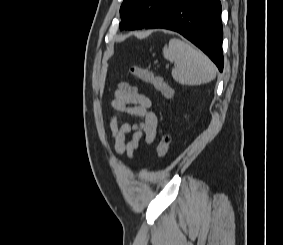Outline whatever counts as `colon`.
<instances>
[{"label":"colon","instance_id":"colon-1","mask_svg":"<svg viewBox=\"0 0 283 245\" xmlns=\"http://www.w3.org/2000/svg\"><path fill=\"white\" fill-rule=\"evenodd\" d=\"M130 73L141 81L153 85L159 92H161L166 99H171L173 96L172 89L164 82V80L152 73L151 71L143 68L139 64L130 66ZM170 136L163 134L157 145V157L159 159L165 158L170 146Z\"/></svg>","mask_w":283,"mask_h":245}]
</instances>
